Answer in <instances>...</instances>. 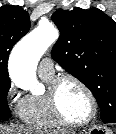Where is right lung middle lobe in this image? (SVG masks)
Returning a JSON list of instances; mask_svg holds the SVG:
<instances>
[{"instance_id":"right-lung-middle-lobe-1","label":"right lung middle lobe","mask_w":116,"mask_h":134,"mask_svg":"<svg viewBox=\"0 0 116 134\" xmlns=\"http://www.w3.org/2000/svg\"><path fill=\"white\" fill-rule=\"evenodd\" d=\"M10 86L9 78H0V119H7L12 116L7 103Z\"/></svg>"}]
</instances>
